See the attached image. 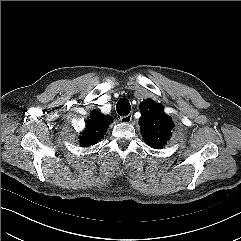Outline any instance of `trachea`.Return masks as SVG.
I'll return each mask as SVG.
<instances>
[{"label": "trachea", "mask_w": 241, "mask_h": 241, "mask_svg": "<svg viewBox=\"0 0 241 241\" xmlns=\"http://www.w3.org/2000/svg\"><path fill=\"white\" fill-rule=\"evenodd\" d=\"M116 110H117V113L120 115V116H126L130 113V110H131V106H130V103L127 99H120L118 102H117V105H116Z\"/></svg>", "instance_id": "trachea-1"}]
</instances>
